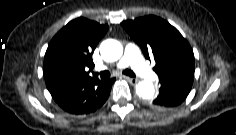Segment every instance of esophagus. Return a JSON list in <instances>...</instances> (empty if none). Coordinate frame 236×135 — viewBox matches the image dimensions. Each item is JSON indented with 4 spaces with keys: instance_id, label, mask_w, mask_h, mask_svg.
Returning a JSON list of instances; mask_svg holds the SVG:
<instances>
[{
    "instance_id": "1",
    "label": "esophagus",
    "mask_w": 236,
    "mask_h": 135,
    "mask_svg": "<svg viewBox=\"0 0 236 135\" xmlns=\"http://www.w3.org/2000/svg\"><path fill=\"white\" fill-rule=\"evenodd\" d=\"M124 78L127 79L128 82H129L130 84H132V85H135V84H137V82H138V80L135 79V78H130V77H126V76H124Z\"/></svg>"
}]
</instances>
